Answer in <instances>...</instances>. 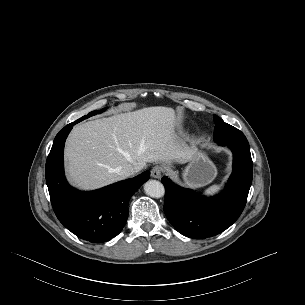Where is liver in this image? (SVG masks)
Wrapping results in <instances>:
<instances>
[{
    "label": "liver",
    "instance_id": "liver-1",
    "mask_svg": "<svg viewBox=\"0 0 305 305\" xmlns=\"http://www.w3.org/2000/svg\"><path fill=\"white\" fill-rule=\"evenodd\" d=\"M175 126L174 109L164 106L79 124L66 142L68 178L81 189H96L120 180L115 169L127 164L188 160L194 151L179 143Z\"/></svg>",
    "mask_w": 305,
    "mask_h": 305
}]
</instances>
